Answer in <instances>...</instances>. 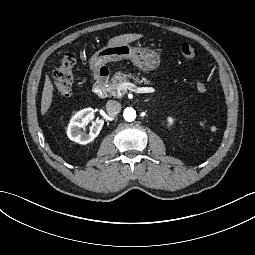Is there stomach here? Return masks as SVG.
<instances>
[{"mask_svg":"<svg viewBox=\"0 0 255 255\" xmlns=\"http://www.w3.org/2000/svg\"><path fill=\"white\" fill-rule=\"evenodd\" d=\"M123 59L131 60L143 71L154 70L159 66L160 57L157 53L146 48L131 47L128 43L106 46L97 51L90 59V69L97 73L108 62Z\"/></svg>","mask_w":255,"mask_h":255,"instance_id":"1","label":"stomach"}]
</instances>
